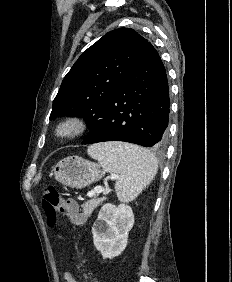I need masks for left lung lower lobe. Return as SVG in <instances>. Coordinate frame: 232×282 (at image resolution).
<instances>
[{"instance_id":"1","label":"left lung lower lobe","mask_w":232,"mask_h":282,"mask_svg":"<svg viewBox=\"0 0 232 282\" xmlns=\"http://www.w3.org/2000/svg\"><path fill=\"white\" fill-rule=\"evenodd\" d=\"M170 98L165 67L148 42L131 74L116 90L101 120L82 142L124 141L162 148L167 142Z\"/></svg>"}]
</instances>
